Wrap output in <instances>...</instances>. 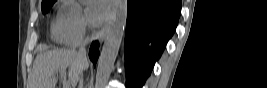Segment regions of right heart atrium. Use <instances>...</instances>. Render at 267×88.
I'll use <instances>...</instances> for the list:
<instances>
[{
    "label": "right heart atrium",
    "mask_w": 267,
    "mask_h": 88,
    "mask_svg": "<svg viewBox=\"0 0 267 88\" xmlns=\"http://www.w3.org/2000/svg\"><path fill=\"white\" fill-rule=\"evenodd\" d=\"M88 27L80 6L70 3L61 7L53 26L54 38L66 45H76L84 41Z\"/></svg>",
    "instance_id": "1"
}]
</instances>
